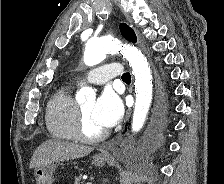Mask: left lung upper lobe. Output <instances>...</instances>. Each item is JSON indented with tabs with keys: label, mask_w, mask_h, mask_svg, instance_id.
<instances>
[{
	"label": "left lung upper lobe",
	"mask_w": 224,
	"mask_h": 184,
	"mask_svg": "<svg viewBox=\"0 0 224 184\" xmlns=\"http://www.w3.org/2000/svg\"><path fill=\"white\" fill-rule=\"evenodd\" d=\"M120 31L122 36L125 37L127 40L134 43L137 41L134 31L126 24L124 23L120 24Z\"/></svg>",
	"instance_id": "5c2ea615"
}]
</instances>
